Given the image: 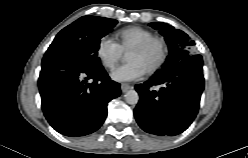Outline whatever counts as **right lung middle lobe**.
<instances>
[{
	"label": "right lung middle lobe",
	"instance_id": "dd1d6c3e",
	"mask_svg": "<svg viewBox=\"0 0 248 158\" xmlns=\"http://www.w3.org/2000/svg\"><path fill=\"white\" fill-rule=\"evenodd\" d=\"M117 24L114 19L83 16L61 30L48 48L81 56H96L100 39Z\"/></svg>",
	"mask_w": 248,
	"mask_h": 158
}]
</instances>
